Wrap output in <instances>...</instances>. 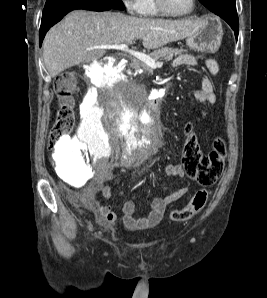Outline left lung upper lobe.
Here are the masks:
<instances>
[{"label":"left lung upper lobe","instance_id":"obj_1","mask_svg":"<svg viewBox=\"0 0 267 298\" xmlns=\"http://www.w3.org/2000/svg\"><path fill=\"white\" fill-rule=\"evenodd\" d=\"M205 7L216 15L236 12L235 0H199ZM230 11V12H229Z\"/></svg>","mask_w":267,"mask_h":298}]
</instances>
